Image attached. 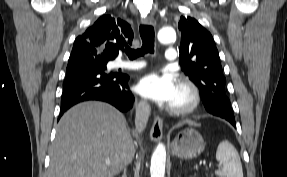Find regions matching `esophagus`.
<instances>
[{
    "instance_id": "34e87169",
    "label": "esophagus",
    "mask_w": 287,
    "mask_h": 177,
    "mask_svg": "<svg viewBox=\"0 0 287 177\" xmlns=\"http://www.w3.org/2000/svg\"><path fill=\"white\" fill-rule=\"evenodd\" d=\"M143 23L145 25H150V26L156 25V21L153 18V16H151V15L145 17L143 19ZM162 136H163L162 119L158 115H156L154 117V122H153V125H152L151 130H150V137L153 141L157 142V141L161 140Z\"/></svg>"
}]
</instances>
